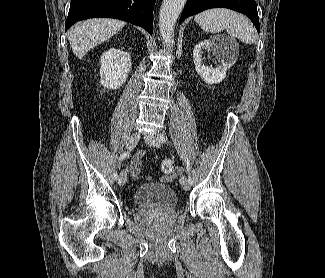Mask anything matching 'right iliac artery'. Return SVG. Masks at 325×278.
Here are the masks:
<instances>
[{
  "label": "right iliac artery",
  "instance_id": "82829eb1",
  "mask_svg": "<svg viewBox=\"0 0 325 278\" xmlns=\"http://www.w3.org/2000/svg\"><path fill=\"white\" fill-rule=\"evenodd\" d=\"M128 155H129L128 152H124V153H122V154L120 155V157H119V161H123L126 157H128ZM113 179H114V180H117V179H118V174H117V172H114V173H113Z\"/></svg>",
  "mask_w": 325,
  "mask_h": 278
}]
</instances>
